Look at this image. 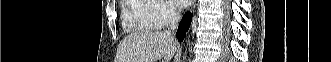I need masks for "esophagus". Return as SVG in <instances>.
Wrapping results in <instances>:
<instances>
[{
  "label": "esophagus",
  "mask_w": 331,
  "mask_h": 62,
  "mask_svg": "<svg viewBox=\"0 0 331 62\" xmlns=\"http://www.w3.org/2000/svg\"><path fill=\"white\" fill-rule=\"evenodd\" d=\"M194 7H195V0L192 1V4H191V6H190V9L193 10Z\"/></svg>",
  "instance_id": "esophagus-1"
}]
</instances>
